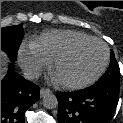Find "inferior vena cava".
<instances>
[{
  "mask_svg": "<svg viewBox=\"0 0 123 123\" xmlns=\"http://www.w3.org/2000/svg\"><path fill=\"white\" fill-rule=\"evenodd\" d=\"M41 75V72L37 68H25L23 70V76L27 80H33L39 78Z\"/></svg>",
  "mask_w": 123,
  "mask_h": 123,
  "instance_id": "1",
  "label": "inferior vena cava"
}]
</instances>
